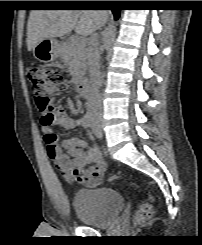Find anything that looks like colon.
Here are the masks:
<instances>
[{"instance_id":"1","label":"colon","mask_w":202,"mask_h":245,"mask_svg":"<svg viewBox=\"0 0 202 245\" xmlns=\"http://www.w3.org/2000/svg\"><path fill=\"white\" fill-rule=\"evenodd\" d=\"M28 79L32 85V93L40 120L43 124L52 125L58 122L54 114L50 93L54 90H64L67 85L59 70H49L39 64H32L28 68ZM51 156L57 154V148L50 150ZM153 216V208L149 202H143L135 215L137 223H143Z\"/></svg>"}]
</instances>
